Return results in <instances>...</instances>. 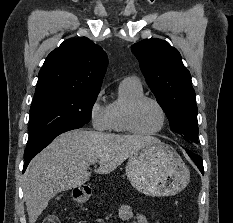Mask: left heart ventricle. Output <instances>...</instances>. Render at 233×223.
<instances>
[{"instance_id":"left-heart-ventricle-1","label":"left heart ventricle","mask_w":233,"mask_h":223,"mask_svg":"<svg viewBox=\"0 0 233 223\" xmlns=\"http://www.w3.org/2000/svg\"><path fill=\"white\" fill-rule=\"evenodd\" d=\"M136 123L138 128L146 133L157 131L163 124V115L156 104L145 102L137 112Z\"/></svg>"}]
</instances>
